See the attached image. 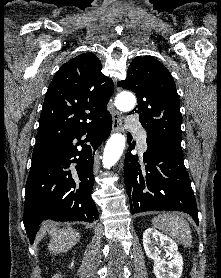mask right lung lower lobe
I'll list each match as a JSON object with an SVG mask.
<instances>
[{
    "instance_id": "right-lung-lower-lobe-1",
    "label": "right lung lower lobe",
    "mask_w": 221,
    "mask_h": 278,
    "mask_svg": "<svg viewBox=\"0 0 221 278\" xmlns=\"http://www.w3.org/2000/svg\"><path fill=\"white\" fill-rule=\"evenodd\" d=\"M111 127L109 115L34 149L23 218L31 244L44 219L92 222L99 218L91 198L94 154Z\"/></svg>"
}]
</instances>
